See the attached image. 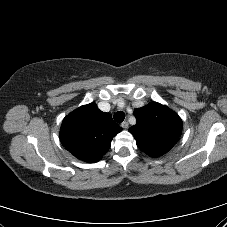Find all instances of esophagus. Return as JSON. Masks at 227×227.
<instances>
[{"mask_svg": "<svg viewBox=\"0 0 227 227\" xmlns=\"http://www.w3.org/2000/svg\"><path fill=\"white\" fill-rule=\"evenodd\" d=\"M121 127L124 128V129H127L128 128V122L127 121H123L121 123Z\"/></svg>", "mask_w": 227, "mask_h": 227, "instance_id": "esophagus-1", "label": "esophagus"}]
</instances>
